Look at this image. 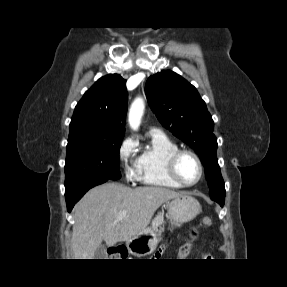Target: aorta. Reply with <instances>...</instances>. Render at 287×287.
Returning <instances> with one entry per match:
<instances>
[{
    "label": "aorta",
    "mask_w": 287,
    "mask_h": 287,
    "mask_svg": "<svg viewBox=\"0 0 287 287\" xmlns=\"http://www.w3.org/2000/svg\"><path fill=\"white\" fill-rule=\"evenodd\" d=\"M145 105L142 98H136L132 103L129 111V124L133 130H137L140 123L141 118L144 113Z\"/></svg>",
    "instance_id": "762f6f07"
}]
</instances>
